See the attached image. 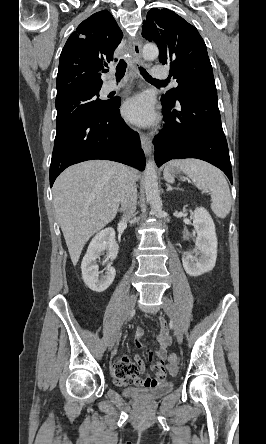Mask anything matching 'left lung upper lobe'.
Returning <instances> with one entry per match:
<instances>
[{"instance_id": "1", "label": "left lung upper lobe", "mask_w": 266, "mask_h": 444, "mask_svg": "<svg viewBox=\"0 0 266 444\" xmlns=\"http://www.w3.org/2000/svg\"><path fill=\"white\" fill-rule=\"evenodd\" d=\"M142 29V36L157 44L160 63L170 65V76L178 82L162 102L173 106L183 97L217 96L207 48L194 26L173 11L152 8Z\"/></svg>"}]
</instances>
